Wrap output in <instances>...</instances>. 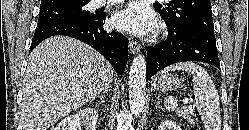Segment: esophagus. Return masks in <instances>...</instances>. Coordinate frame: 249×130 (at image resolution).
Masks as SVG:
<instances>
[{
  "mask_svg": "<svg viewBox=\"0 0 249 130\" xmlns=\"http://www.w3.org/2000/svg\"><path fill=\"white\" fill-rule=\"evenodd\" d=\"M129 47H130V50L133 54H136L140 51V44L134 40H129Z\"/></svg>",
  "mask_w": 249,
  "mask_h": 130,
  "instance_id": "1",
  "label": "esophagus"
}]
</instances>
